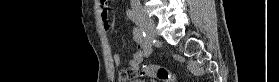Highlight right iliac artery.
Wrapping results in <instances>:
<instances>
[{
	"label": "right iliac artery",
	"mask_w": 279,
	"mask_h": 82,
	"mask_svg": "<svg viewBox=\"0 0 279 82\" xmlns=\"http://www.w3.org/2000/svg\"><path fill=\"white\" fill-rule=\"evenodd\" d=\"M126 14L127 17L139 27L141 31V36L145 40V44H146L145 55L149 56L152 51V44L151 41L149 40V35L142 19L139 17L137 13H135L133 10L130 9L126 11Z\"/></svg>",
	"instance_id": "obj_1"
}]
</instances>
